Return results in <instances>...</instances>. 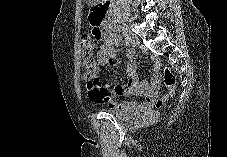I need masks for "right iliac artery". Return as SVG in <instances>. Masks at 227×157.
Here are the masks:
<instances>
[{
    "mask_svg": "<svg viewBox=\"0 0 227 157\" xmlns=\"http://www.w3.org/2000/svg\"><path fill=\"white\" fill-rule=\"evenodd\" d=\"M116 31H119V29H117ZM114 36H115V40L116 41H118V40H122L123 41V46L126 49V53H131V48L129 46V42H127V40H126V36H120L119 37L117 34H114Z\"/></svg>",
    "mask_w": 227,
    "mask_h": 157,
    "instance_id": "82829eb1",
    "label": "right iliac artery"
}]
</instances>
